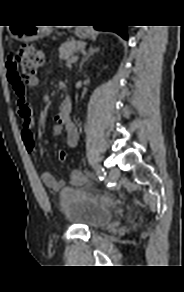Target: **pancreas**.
Returning <instances> with one entry per match:
<instances>
[{"mask_svg":"<svg viewBox=\"0 0 184 292\" xmlns=\"http://www.w3.org/2000/svg\"><path fill=\"white\" fill-rule=\"evenodd\" d=\"M84 48V43L80 41H67L63 43L59 48V58L67 59L73 53L80 51Z\"/></svg>","mask_w":184,"mask_h":292,"instance_id":"obj_1","label":"pancreas"}]
</instances>
